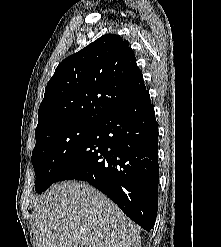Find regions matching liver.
I'll list each match as a JSON object with an SVG mask.
<instances>
[{
    "label": "liver",
    "mask_w": 221,
    "mask_h": 247,
    "mask_svg": "<svg viewBox=\"0 0 221 247\" xmlns=\"http://www.w3.org/2000/svg\"><path fill=\"white\" fill-rule=\"evenodd\" d=\"M37 247H138L137 227L87 183L51 186L33 210Z\"/></svg>",
    "instance_id": "6515ba94"
}]
</instances>
